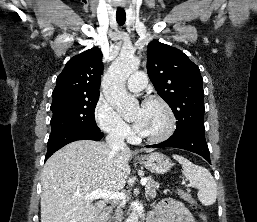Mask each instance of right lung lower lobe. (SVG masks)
I'll list each match as a JSON object with an SVG mask.
<instances>
[{
    "mask_svg": "<svg viewBox=\"0 0 257 222\" xmlns=\"http://www.w3.org/2000/svg\"><path fill=\"white\" fill-rule=\"evenodd\" d=\"M102 132H86V131H68L61 133L55 137L49 138L48 149L45 156V161L58 149L66 144L77 140H95L99 141L103 137Z\"/></svg>",
    "mask_w": 257,
    "mask_h": 222,
    "instance_id": "98d812e1",
    "label": "right lung lower lobe"
}]
</instances>
